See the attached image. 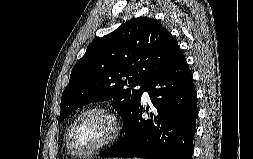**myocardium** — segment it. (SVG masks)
Returning <instances> with one entry per match:
<instances>
[{
  "instance_id": "obj_1",
  "label": "myocardium",
  "mask_w": 253,
  "mask_h": 159,
  "mask_svg": "<svg viewBox=\"0 0 253 159\" xmlns=\"http://www.w3.org/2000/svg\"><path fill=\"white\" fill-rule=\"evenodd\" d=\"M91 112H101V113H104L105 115H107L111 121V124H112V133L106 140H104L100 144L96 145L95 147L89 149L88 151L78 152L72 147V144H71L73 130H74V127L77 124V122L84 115L91 113ZM122 131H123V125H122L121 119L112 108L105 106V105L92 106V107H89V108L81 111L71 122V124L67 130L66 146H67L68 150L73 155L78 156V157H86V156L92 155L95 152H97L101 149H104V148L110 146L111 144H113L114 142H116L120 138Z\"/></svg>"
}]
</instances>
